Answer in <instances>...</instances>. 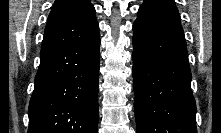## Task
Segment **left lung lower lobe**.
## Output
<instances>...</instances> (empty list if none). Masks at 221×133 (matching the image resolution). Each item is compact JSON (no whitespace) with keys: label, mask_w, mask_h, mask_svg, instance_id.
I'll use <instances>...</instances> for the list:
<instances>
[{"label":"left lung lower lobe","mask_w":221,"mask_h":133,"mask_svg":"<svg viewBox=\"0 0 221 133\" xmlns=\"http://www.w3.org/2000/svg\"><path fill=\"white\" fill-rule=\"evenodd\" d=\"M133 30L137 133H197L183 29L135 21Z\"/></svg>","instance_id":"1"}]
</instances>
